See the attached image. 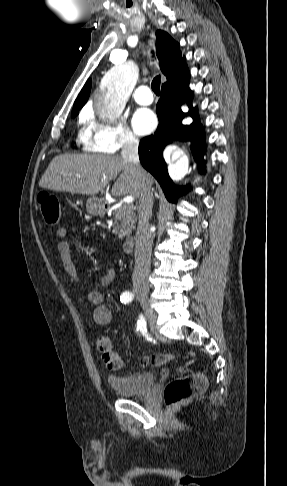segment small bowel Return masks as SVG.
I'll list each match as a JSON object with an SVG mask.
<instances>
[{
  "instance_id": "1",
  "label": "small bowel",
  "mask_w": 287,
  "mask_h": 486,
  "mask_svg": "<svg viewBox=\"0 0 287 486\" xmlns=\"http://www.w3.org/2000/svg\"><path fill=\"white\" fill-rule=\"evenodd\" d=\"M55 236L59 240L57 244V250L59 252L64 270L69 275L73 283H75L79 287H83L80 275L77 272L75 264L72 260L70 244L66 240V237L68 236V230L65 228H59L56 230ZM114 276V271L109 270L106 274L98 278V282L102 286H107L113 281ZM86 296L89 302L95 306L93 311V318L95 323L100 326L108 325L112 320V312L108 307L103 305V297L101 293L96 290H87Z\"/></svg>"
}]
</instances>
